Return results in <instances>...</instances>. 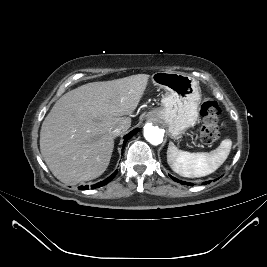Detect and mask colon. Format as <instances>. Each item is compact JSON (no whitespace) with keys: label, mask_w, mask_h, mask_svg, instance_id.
I'll use <instances>...</instances> for the list:
<instances>
[{"label":"colon","mask_w":267,"mask_h":267,"mask_svg":"<svg viewBox=\"0 0 267 267\" xmlns=\"http://www.w3.org/2000/svg\"><path fill=\"white\" fill-rule=\"evenodd\" d=\"M203 124L200 129V138L205 144L216 142L220 136L217 120L220 108L217 102L211 98H205L200 110Z\"/></svg>","instance_id":"obj_1"}]
</instances>
